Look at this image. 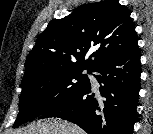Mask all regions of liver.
I'll return each instance as SVG.
<instances>
[{"instance_id":"1","label":"liver","mask_w":153,"mask_h":134,"mask_svg":"<svg viewBox=\"0 0 153 134\" xmlns=\"http://www.w3.org/2000/svg\"><path fill=\"white\" fill-rule=\"evenodd\" d=\"M15 134H84V131L70 122L48 119L33 123L22 130H17Z\"/></svg>"}]
</instances>
